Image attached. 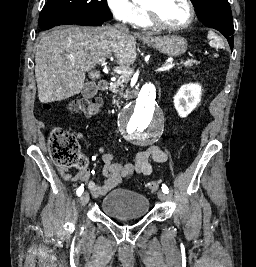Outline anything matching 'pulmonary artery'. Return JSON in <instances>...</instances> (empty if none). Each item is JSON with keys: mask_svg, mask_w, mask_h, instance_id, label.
Here are the masks:
<instances>
[{"mask_svg": "<svg viewBox=\"0 0 256 267\" xmlns=\"http://www.w3.org/2000/svg\"><path fill=\"white\" fill-rule=\"evenodd\" d=\"M126 56H133L132 54H128V55H126Z\"/></svg>", "mask_w": 256, "mask_h": 267, "instance_id": "obj_1", "label": "pulmonary artery"}]
</instances>
